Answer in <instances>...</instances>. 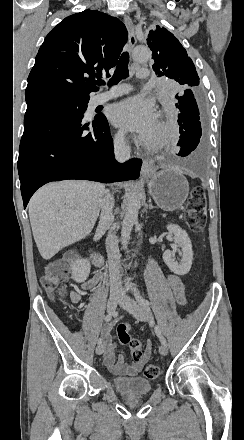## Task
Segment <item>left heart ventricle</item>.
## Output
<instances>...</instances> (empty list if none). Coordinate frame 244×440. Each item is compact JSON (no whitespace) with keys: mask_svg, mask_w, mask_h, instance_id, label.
Here are the masks:
<instances>
[{"mask_svg":"<svg viewBox=\"0 0 244 440\" xmlns=\"http://www.w3.org/2000/svg\"><path fill=\"white\" fill-rule=\"evenodd\" d=\"M162 131H163L162 125H161V123H158L157 128L155 130V133L160 135L162 133Z\"/></svg>","mask_w":244,"mask_h":440,"instance_id":"b2bd125f","label":"left heart ventricle"}]
</instances>
